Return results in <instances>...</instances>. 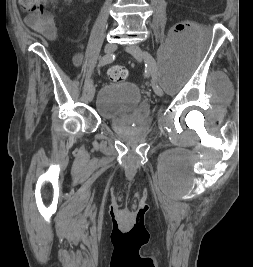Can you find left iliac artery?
<instances>
[{
  "label": "left iliac artery",
  "mask_w": 253,
  "mask_h": 267,
  "mask_svg": "<svg viewBox=\"0 0 253 267\" xmlns=\"http://www.w3.org/2000/svg\"><path fill=\"white\" fill-rule=\"evenodd\" d=\"M145 63H146L145 64L146 68L149 71H151L153 79L154 80H157V67H156V62H155V60H154V58H153V56L151 54L146 56Z\"/></svg>",
  "instance_id": "44dca946"
}]
</instances>
